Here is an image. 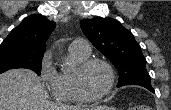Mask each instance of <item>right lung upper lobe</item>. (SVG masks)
<instances>
[{"label":"right lung upper lobe","instance_id":"right-lung-upper-lobe-1","mask_svg":"<svg viewBox=\"0 0 171 110\" xmlns=\"http://www.w3.org/2000/svg\"><path fill=\"white\" fill-rule=\"evenodd\" d=\"M55 26V22L42 15L28 16L10 32L1 46L11 45L32 53L44 54L45 43Z\"/></svg>","mask_w":171,"mask_h":110}]
</instances>
